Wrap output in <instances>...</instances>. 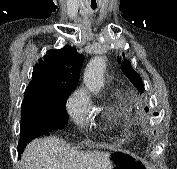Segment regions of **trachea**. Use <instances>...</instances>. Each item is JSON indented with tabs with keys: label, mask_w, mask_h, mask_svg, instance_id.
<instances>
[{
	"label": "trachea",
	"mask_w": 177,
	"mask_h": 169,
	"mask_svg": "<svg viewBox=\"0 0 177 169\" xmlns=\"http://www.w3.org/2000/svg\"><path fill=\"white\" fill-rule=\"evenodd\" d=\"M92 9H93V10H95V9H96V7H92Z\"/></svg>",
	"instance_id": "1"
}]
</instances>
